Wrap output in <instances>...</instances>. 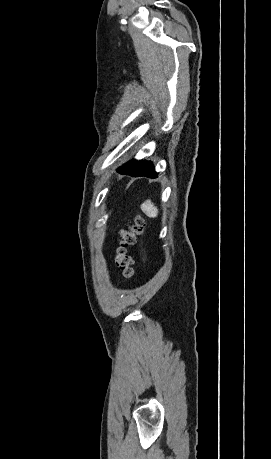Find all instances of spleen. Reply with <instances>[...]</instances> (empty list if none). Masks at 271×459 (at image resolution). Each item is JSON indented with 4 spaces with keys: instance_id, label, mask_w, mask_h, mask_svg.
<instances>
[{
    "instance_id": "obj_1",
    "label": "spleen",
    "mask_w": 271,
    "mask_h": 459,
    "mask_svg": "<svg viewBox=\"0 0 271 459\" xmlns=\"http://www.w3.org/2000/svg\"><path fill=\"white\" fill-rule=\"evenodd\" d=\"M142 212L146 214V216H149V218H157L158 216V210L154 204H152L151 200H146L144 204H141L140 206Z\"/></svg>"
}]
</instances>
